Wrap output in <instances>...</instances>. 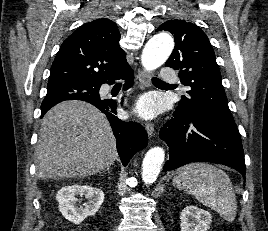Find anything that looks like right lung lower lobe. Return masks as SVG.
Segmentation results:
<instances>
[{"mask_svg":"<svg viewBox=\"0 0 268 231\" xmlns=\"http://www.w3.org/2000/svg\"><path fill=\"white\" fill-rule=\"evenodd\" d=\"M118 79L125 80L124 89H128L133 85L134 73L129 65H126L117 76L106 83L113 84ZM81 100L93 104L107 116L117 140V151L124 166L128 164L130 158L137 151L146 147L148 137L145 129L138 123L118 119L115 116L117 114L115 100H101L100 96ZM48 110H41V115L43 116Z\"/></svg>","mask_w":268,"mask_h":231,"instance_id":"obj_1","label":"right lung lower lobe"}]
</instances>
